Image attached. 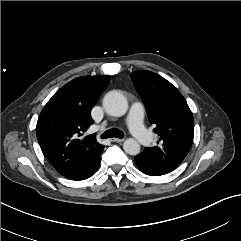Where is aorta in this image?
<instances>
[{"label": "aorta", "instance_id": "762f6f07", "mask_svg": "<svg viewBox=\"0 0 241 241\" xmlns=\"http://www.w3.org/2000/svg\"><path fill=\"white\" fill-rule=\"evenodd\" d=\"M103 107L109 115L121 117L128 110V102L120 92L110 91L104 96ZM123 149L130 155H137L140 152V144L135 139L128 138L123 143Z\"/></svg>", "mask_w": 241, "mask_h": 241}]
</instances>
